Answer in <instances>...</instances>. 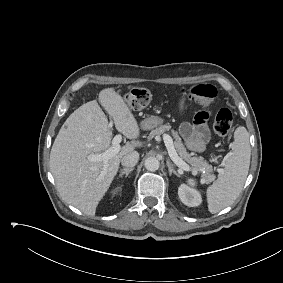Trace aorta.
<instances>
[{"instance_id":"aorta-1","label":"aorta","mask_w":283,"mask_h":283,"mask_svg":"<svg viewBox=\"0 0 283 283\" xmlns=\"http://www.w3.org/2000/svg\"><path fill=\"white\" fill-rule=\"evenodd\" d=\"M144 166L145 168L148 170V171H156L159 169V166H160V162L157 158L155 157H148L146 160H145V163H144Z\"/></svg>"}]
</instances>
